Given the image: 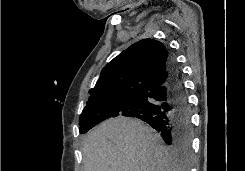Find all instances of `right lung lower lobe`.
<instances>
[{"instance_id":"1","label":"right lung lower lobe","mask_w":245,"mask_h":171,"mask_svg":"<svg viewBox=\"0 0 245 171\" xmlns=\"http://www.w3.org/2000/svg\"><path fill=\"white\" fill-rule=\"evenodd\" d=\"M167 71L168 79L163 85L134 97L117 115L139 118L148 123L167 145L177 149L179 157L187 158L192 134L190 108L179 68L170 53Z\"/></svg>"}]
</instances>
